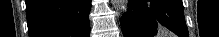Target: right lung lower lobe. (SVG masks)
Listing matches in <instances>:
<instances>
[{
    "mask_svg": "<svg viewBox=\"0 0 219 37\" xmlns=\"http://www.w3.org/2000/svg\"><path fill=\"white\" fill-rule=\"evenodd\" d=\"M91 0H26L29 37H90Z\"/></svg>",
    "mask_w": 219,
    "mask_h": 37,
    "instance_id": "obj_1",
    "label": "right lung lower lobe"
}]
</instances>
